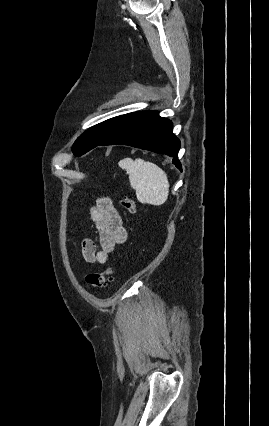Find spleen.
I'll use <instances>...</instances> for the list:
<instances>
[{
	"mask_svg": "<svg viewBox=\"0 0 269 426\" xmlns=\"http://www.w3.org/2000/svg\"><path fill=\"white\" fill-rule=\"evenodd\" d=\"M118 165L129 174L130 186L140 203L160 206L167 201L170 186L168 177L156 164L141 158H125Z\"/></svg>",
	"mask_w": 269,
	"mask_h": 426,
	"instance_id": "1",
	"label": "spleen"
}]
</instances>
